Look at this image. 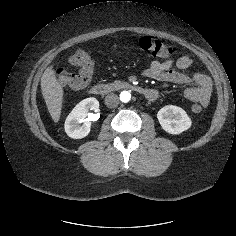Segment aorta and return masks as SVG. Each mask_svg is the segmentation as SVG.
<instances>
[{
  "label": "aorta",
  "instance_id": "aorta-1",
  "mask_svg": "<svg viewBox=\"0 0 236 236\" xmlns=\"http://www.w3.org/2000/svg\"><path fill=\"white\" fill-rule=\"evenodd\" d=\"M131 99V93L129 91H122L120 93V100L124 103L129 102Z\"/></svg>",
  "mask_w": 236,
  "mask_h": 236
}]
</instances>
